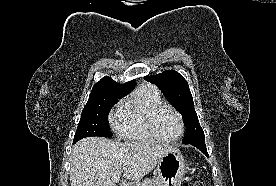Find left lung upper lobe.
I'll use <instances>...</instances> for the list:
<instances>
[{
  "label": "left lung upper lobe",
  "mask_w": 276,
  "mask_h": 186,
  "mask_svg": "<svg viewBox=\"0 0 276 186\" xmlns=\"http://www.w3.org/2000/svg\"><path fill=\"white\" fill-rule=\"evenodd\" d=\"M145 79L159 87L168 101L183 115L186 126L184 144L205 142L188 82L184 77L174 70H167L157 75L146 76Z\"/></svg>",
  "instance_id": "5c2ea615"
}]
</instances>
